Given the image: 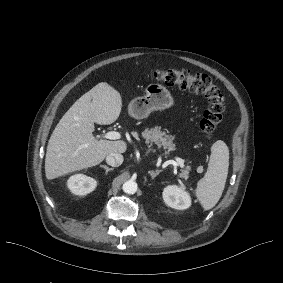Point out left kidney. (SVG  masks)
<instances>
[{
    "label": "left kidney",
    "mask_w": 283,
    "mask_h": 283,
    "mask_svg": "<svg viewBox=\"0 0 283 283\" xmlns=\"http://www.w3.org/2000/svg\"><path fill=\"white\" fill-rule=\"evenodd\" d=\"M162 196L164 202L171 208L184 210L191 206L190 195L184 190L183 184L180 187L177 185L165 187Z\"/></svg>",
    "instance_id": "5707ae66"
}]
</instances>
